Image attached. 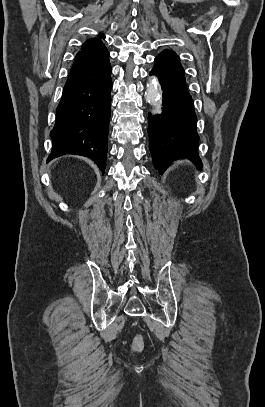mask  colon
<instances>
[{
    "label": "colon",
    "mask_w": 265,
    "mask_h": 407,
    "mask_svg": "<svg viewBox=\"0 0 265 407\" xmlns=\"http://www.w3.org/2000/svg\"><path fill=\"white\" fill-rule=\"evenodd\" d=\"M144 348V340L142 335L137 334L135 335L134 339H133V343H132V349L134 352H141Z\"/></svg>",
    "instance_id": "colon-1"
}]
</instances>
